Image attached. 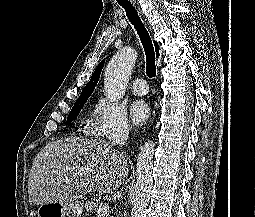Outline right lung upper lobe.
<instances>
[{
	"label": "right lung upper lobe",
	"instance_id": "obj_1",
	"mask_svg": "<svg viewBox=\"0 0 255 217\" xmlns=\"http://www.w3.org/2000/svg\"><path fill=\"white\" fill-rule=\"evenodd\" d=\"M154 44H155V51H156L157 54H159V45L157 43H154ZM103 65H104V60L95 69L94 73L92 74V77H91L90 81L88 82V84L82 90L81 95L93 92V90H94V88H95V86H96V84L99 80Z\"/></svg>",
	"mask_w": 255,
	"mask_h": 217
}]
</instances>
